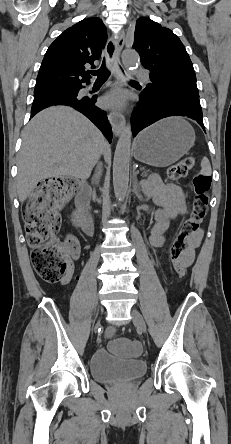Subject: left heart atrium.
Returning a JSON list of instances; mask_svg holds the SVG:
<instances>
[{
  "label": "left heart atrium",
  "instance_id": "1",
  "mask_svg": "<svg viewBox=\"0 0 231 444\" xmlns=\"http://www.w3.org/2000/svg\"><path fill=\"white\" fill-rule=\"evenodd\" d=\"M102 102L110 108H122L126 102V95L122 90H113L102 98Z\"/></svg>",
  "mask_w": 231,
  "mask_h": 444
}]
</instances>
